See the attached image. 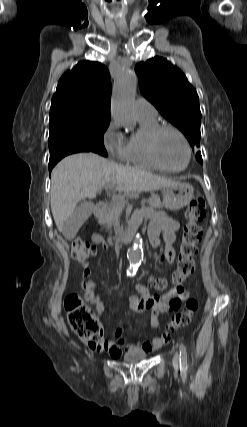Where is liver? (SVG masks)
I'll return each instance as SVG.
<instances>
[{
	"mask_svg": "<svg viewBox=\"0 0 247 427\" xmlns=\"http://www.w3.org/2000/svg\"><path fill=\"white\" fill-rule=\"evenodd\" d=\"M176 181L145 170L111 162L94 153H79L61 160L51 175V211L58 230L70 217L77 203L93 199L104 187L117 191H153Z\"/></svg>",
	"mask_w": 247,
	"mask_h": 427,
	"instance_id": "1",
	"label": "liver"
}]
</instances>
